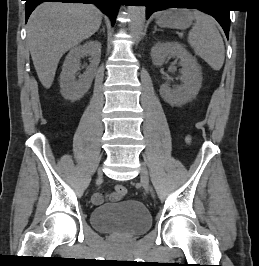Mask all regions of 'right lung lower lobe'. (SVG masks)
Wrapping results in <instances>:
<instances>
[{"label": "right lung lower lobe", "instance_id": "98d812e1", "mask_svg": "<svg viewBox=\"0 0 259 266\" xmlns=\"http://www.w3.org/2000/svg\"><path fill=\"white\" fill-rule=\"evenodd\" d=\"M26 1V21L30 14L37 5L42 2H62V3H84V4H95L99 9L108 15L112 21V25L115 23V17L118 9L121 5L122 0H25Z\"/></svg>", "mask_w": 259, "mask_h": 266}]
</instances>
